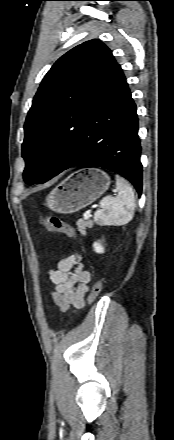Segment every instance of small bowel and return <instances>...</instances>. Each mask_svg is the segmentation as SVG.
Listing matches in <instances>:
<instances>
[{
	"label": "small bowel",
	"instance_id": "1",
	"mask_svg": "<svg viewBox=\"0 0 174 440\" xmlns=\"http://www.w3.org/2000/svg\"><path fill=\"white\" fill-rule=\"evenodd\" d=\"M48 274L54 285L52 298L62 312L77 311L84 307L91 276L84 269L80 254L73 252L59 260L57 267L50 268Z\"/></svg>",
	"mask_w": 174,
	"mask_h": 440
}]
</instances>
